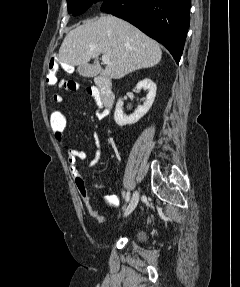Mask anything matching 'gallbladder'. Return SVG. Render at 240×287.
Segmentation results:
<instances>
[{
	"label": "gallbladder",
	"instance_id": "gallbladder-1",
	"mask_svg": "<svg viewBox=\"0 0 240 287\" xmlns=\"http://www.w3.org/2000/svg\"><path fill=\"white\" fill-rule=\"evenodd\" d=\"M77 72L79 73L80 76L83 77H96L99 73V66L98 65H91V64H84V65H79L77 67Z\"/></svg>",
	"mask_w": 240,
	"mask_h": 287
}]
</instances>
